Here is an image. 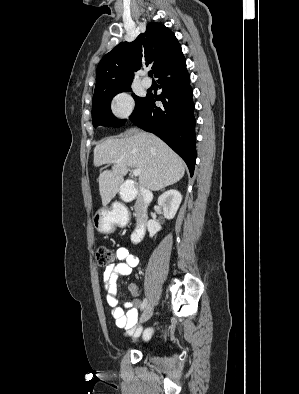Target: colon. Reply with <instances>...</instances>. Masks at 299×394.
Masks as SVG:
<instances>
[{
    "label": "colon",
    "instance_id": "5ec220e1",
    "mask_svg": "<svg viewBox=\"0 0 299 394\" xmlns=\"http://www.w3.org/2000/svg\"><path fill=\"white\" fill-rule=\"evenodd\" d=\"M96 259L99 266H108L115 261V256L109 246L99 245L96 248Z\"/></svg>",
    "mask_w": 299,
    "mask_h": 394
}]
</instances>
